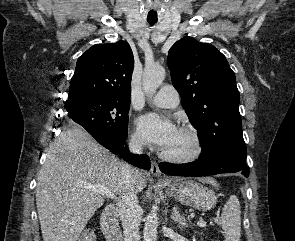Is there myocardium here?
<instances>
[{"mask_svg":"<svg viewBox=\"0 0 295 241\" xmlns=\"http://www.w3.org/2000/svg\"><path fill=\"white\" fill-rule=\"evenodd\" d=\"M181 132L186 133L192 140V149L190 152L182 155L161 152V157L167 161L179 164H187L197 161L204 153L205 145L200 132L191 125H184L180 128Z\"/></svg>","mask_w":295,"mask_h":241,"instance_id":"myocardium-1","label":"myocardium"}]
</instances>
